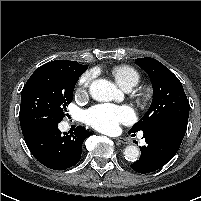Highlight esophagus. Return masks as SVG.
Masks as SVG:
<instances>
[{"label": "esophagus", "mask_w": 201, "mask_h": 201, "mask_svg": "<svg viewBox=\"0 0 201 201\" xmlns=\"http://www.w3.org/2000/svg\"><path fill=\"white\" fill-rule=\"evenodd\" d=\"M115 140L118 142V143H123V144H127V140L122 138V137H117L115 138Z\"/></svg>", "instance_id": "esophagus-1"}]
</instances>
